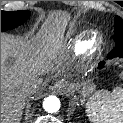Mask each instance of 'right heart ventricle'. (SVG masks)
Returning a JSON list of instances; mask_svg holds the SVG:
<instances>
[{"label":"right heart ventricle","mask_w":123,"mask_h":123,"mask_svg":"<svg viewBox=\"0 0 123 123\" xmlns=\"http://www.w3.org/2000/svg\"><path fill=\"white\" fill-rule=\"evenodd\" d=\"M75 51L77 52V53H82V46H81V41H77L76 43H75Z\"/></svg>","instance_id":"obj_1"}]
</instances>
